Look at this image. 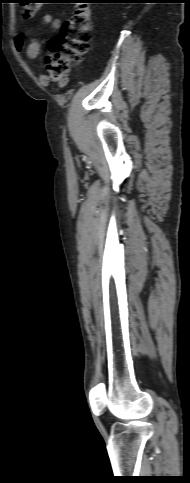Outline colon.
I'll list each match as a JSON object with an SVG mask.
<instances>
[{
  "label": "colon",
  "instance_id": "1",
  "mask_svg": "<svg viewBox=\"0 0 190 483\" xmlns=\"http://www.w3.org/2000/svg\"><path fill=\"white\" fill-rule=\"evenodd\" d=\"M22 9L24 18H33L39 12L42 2L25 0ZM93 19L89 7L79 6L63 23L58 34L50 39V53L46 56L48 77L63 85L67 81L72 65L80 63L90 47Z\"/></svg>",
  "mask_w": 190,
  "mask_h": 483
}]
</instances>
